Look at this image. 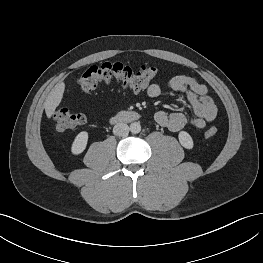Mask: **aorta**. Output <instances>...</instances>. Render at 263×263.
<instances>
[{
	"mask_svg": "<svg viewBox=\"0 0 263 263\" xmlns=\"http://www.w3.org/2000/svg\"><path fill=\"white\" fill-rule=\"evenodd\" d=\"M130 131L133 133V134H137L141 131V125L139 122H133L130 124Z\"/></svg>",
	"mask_w": 263,
	"mask_h": 263,
	"instance_id": "aorta-1",
	"label": "aorta"
}]
</instances>
